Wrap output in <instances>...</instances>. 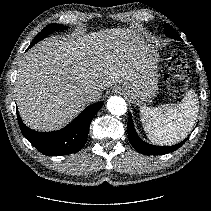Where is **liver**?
<instances>
[{"mask_svg":"<svg viewBox=\"0 0 211 211\" xmlns=\"http://www.w3.org/2000/svg\"><path fill=\"white\" fill-rule=\"evenodd\" d=\"M149 50L124 28L40 41L25 54L15 82L22 120L38 131L63 128L87 105L86 91L101 96V90L135 79Z\"/></svg>","mask_w":211,"mask_h":211,"instance_id":"obj_1","label":"liver"}]
</instances>
